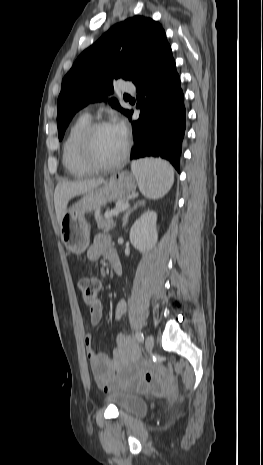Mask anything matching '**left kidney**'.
I'll use <instances>...</instances> for the list:
<instances>
[{"mask_svg": "<svg viewBox=\"0 0 263 465\" xmlns=\"http://www.w3.org/2000/svg\"><path fill=\"white\" fill-rule=\"evenodd\" d=\"M157 213L147 211L137 219L130 229V242L141 253L152 248L158 239Z\"/></svg>", "mask_w": 263, "mask_h": 465, "instance_id": "obj_1", "label": "left kidney"}]
</instances>
